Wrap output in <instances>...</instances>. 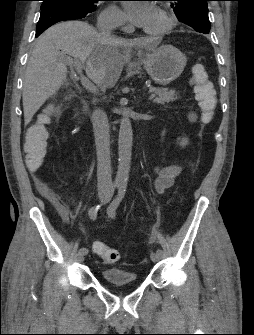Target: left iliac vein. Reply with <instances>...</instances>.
<instances>
[{"label": "left iliac vein", "instance_id": "1", "mask_svg": "<svg viewBox=\"0 0 254 335\" xmlns=\"http://www.w3.org/2000/svg\"><path fill=\"white\" fill-rule=\"evenodd\" d=\"M150 258L153 262H158L160 260V256L155 252H151Z\"/></svg>", "mask_w": 254, "mask_h": 335}]
</instances>
